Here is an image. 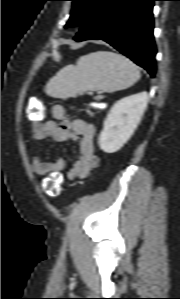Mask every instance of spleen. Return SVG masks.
I'll return each instance as SVG.
<instances>
[{
    "mask_svg": "<svg viewBox=\"0 0 180 299\" xmlns=\"http://www.w3.org/2000/svg\"><path fill=\"white\" fill-rule=\"evenodd\" d=\"M139 78L138 67L125 56L97 51L58 71L47 84L46 93L61 99L77 97L86 91L112 93L132 86Z\"/></svg>",
    "mask_w": 180,
    "mask_h": 299,
    "instance_id": "obj_1",
    "label": "spleen"
}]
</instances>
